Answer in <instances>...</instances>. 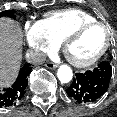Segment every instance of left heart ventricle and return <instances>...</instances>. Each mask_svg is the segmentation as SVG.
Segmentation results:
<instances>
[{"mask_svg": "<svg viewBox=\"0 0 117 117\" xmlns=\"http://www.w3.org/2000/svg\"><path fill=\"white\" fill-rule=\"evenodd\" d=\"M106 37L104 28L100 26L88 28L68 46V55L78 61L88 60L102 49Z\"/></svg>", "mask_w": 117, "mask_h": 117, "instance_id": "1", "label": "left heart ventricle"}]
</instances>
